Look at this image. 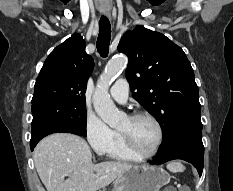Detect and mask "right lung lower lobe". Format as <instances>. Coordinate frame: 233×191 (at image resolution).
<instances>
[{"mask_svg": "<svg viewBox=\"0 0 233 191\" xmlns=\"http://www.w3.org/2000/svg\"><path fill=\"white\" fill-rule=\"evenodd\" d=\"M56 132H66V133H73V131L64 129V128H46L42 129L34 134L31 135V141H30V148L33 151L34 147L37 145V143L45 136L56 133ZM77 135V134H76Z\"/></svg>", "mask_w": 233, "mask_h": 191, "instance_id": "98d812e1", "label": "right lung lower lobe"}]
</instances>
